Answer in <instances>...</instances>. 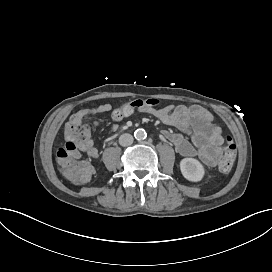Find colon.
<instances>
[{
	"mask_svg": "<svg viewBox=\"0 0 272 272\" xmlns=\"http://www.w3.org/2000/svg\"><path fill=\"white\" fill-rule=\"evenodd\" d=\"M156 104H158V100L153 98L127 100L122 103V108L111 111L110 118L113 121H118L132 110ZM92 113L93 110L91 108L81 109L69 117L71 123H68L66 126L67 139L64 145L60 146L56 152L57 159L61 161L58 165L59 172L72 178L77 185L84 184L91 172V166L88 162H78L79 157H76L78 155L77 148L90 150L95 145L94 138L90 136L89 126L79 121ZM225 141L223 150L217 153L219 154L218 169L221 172H228L232 169L236 156V145L232 137L226 135ZM73 157L76 158L70 162Z\"/></svg>",
	"mask_w": 272,
	"mask_h": 272,
	"instance_id": "obj_1",
	"label": "colon"
}]
</instances>
